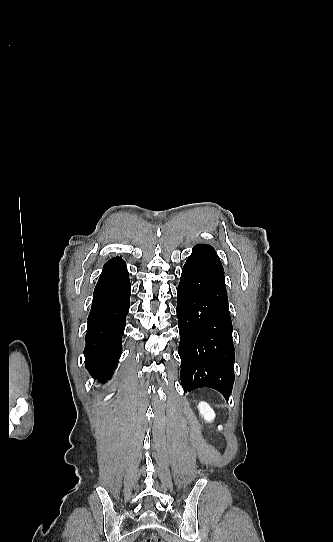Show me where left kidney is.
<instances>
[{
	"label": "left kidney",
	"mask_w": 333,
	"mask_h": 542,
	"mask_svg": "<svg viewBox=\"0 0 333 542\" xmlns=\"http://www.w3.org/2000/svg\"><path fill=\"white\" fill-rule=\"evenodd\" d=\"M198 408L201 416H203L206 422H213L216 414L214 410L210 408L209 404H206V402H200V404H198Z\"/></svg>",
	"instance_id": "5707ae66"
}]
</instances>
